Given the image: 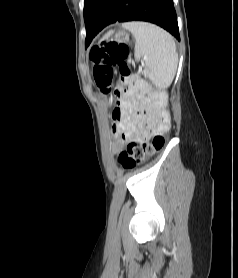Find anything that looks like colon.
Segmentation results:
<instances>
[{
    "instance_id": "1",
    "label": "colon",
    "mask_w": 238,
    "mask_h": 278,
    "mask_svg": "<svg viewBox=\"0 0 238 278\" xmlns=\"http://www.w3.org/2000/svg\"><path fill=\"white\" fill-rule=\"evenodd\" d=\"M93 64V76L99 90L109 96L118 95L119 90L113 88L114 70L119 68L121 75L127 78L130 70L127 64L129 48L113 41H104L90 50ZM165 143V131L162 130L151 137L148 142H131L118 158L125 169H130L160 150Z\"/></svg>"
}]
</instances>
